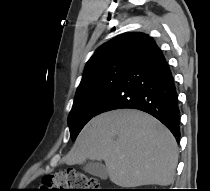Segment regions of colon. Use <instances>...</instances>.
<instances>
[{
	"instance_id": "1",
	"label": "colon",
	"mask_w": 210,
	"mask_h": 191,
	"mask_svg": "<svg viewBox=\"0 0 210 191\" xmlns=\"http://www.w3.org/2000/svg\"><path fill=\"white\" fill-rule=\"evenodd\" d=\"M41 182L50 186L52 191H103L98 180L76 170L46 176Z\"/></svg>"
}]
</instances>
